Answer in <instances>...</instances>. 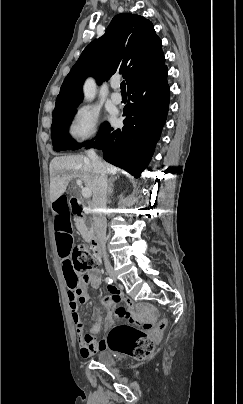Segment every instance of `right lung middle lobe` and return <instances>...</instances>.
I'll return each instance as SVG.
<instances>
[{"label":"right lung middle lobe","mask_w":243,"mask_h":404,"mask_svg":"<svg viewBox=\"0 0 243 404\" xmlns=\"http://www.w3.org/2000/svg\"><path fill=\"white\" fill-rule=\"evenodd\" d=\"M77 107L62 110L53 115V123L51 126L52 142L55 151L60 150H77L81 148L82 144L76 143L71 139L68 134V125L76 113ZM108 123L103 124L99 133ZM98 133V134H99ZM85 142L83 145H85Z\"/></svg>","instance_id":"dd1d6c3e"}]
</instances>
